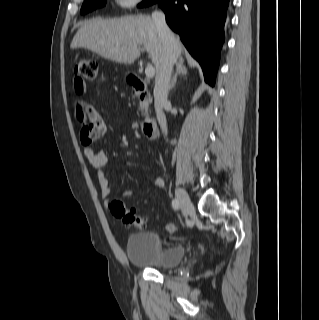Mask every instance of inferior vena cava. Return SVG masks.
<instances>
[{
	"instance_id": "1",
	"label": "inferior vena cava",
	"mask_w": 319,
	"mask_h": 320,
	"mask_svg": "<svg viewBox=\"0 0 319 320\" xmlns=\"http://www.w3.org/2000/svg\"><path fill=\"white\" fill-rule=\"evenodd\" d=\"M152 19L155 22L159 37L164 46L163 58L155 80L154 105L157 120L162 132L167 135V122L163 112V107L167 103V96L170 89V79L173 71V65L176 61L174 35L166 24L165 15L163 12H153Z\"/></svg>"
}]
</instances>
